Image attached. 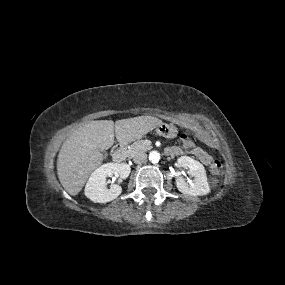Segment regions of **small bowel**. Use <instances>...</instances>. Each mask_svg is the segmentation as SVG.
I'll list each match as a JSON object with an SVG mask.
<instances>
[{
  "label": "small bowel",
  "instance_id": "small-bowel-1",
  "mask_svg": "<svg viewBox=\"0 0 285 285\" xmlns=\"http://www.w3.org/2000/svg\"><path fill=\"white\" fill-rule=\"evenodd\" d=\"M207 142L212 145V141L211 140H207ZM184 152H190L192 153L194 156H196L199 161L204 164V165H210L211 162H212V157L211 155L206 152L204 149H202L201 147L199 146H195V148L193 149H187L185 147H181V146H172V147H169L167 149V153L171 156H177V155H181L183 154Z\"/></svg>",
  "mask_w": 285,
  "mask_h": 285
}]
</instances>
